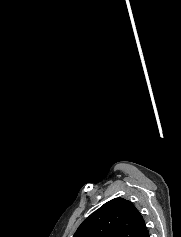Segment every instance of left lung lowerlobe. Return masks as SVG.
Segmentation results:
<instances>
[{
	"mask_svg": "<svg viewBox=\"0 0 181 237\" xmlns=\"http://www.w3.org/2000/svg\"><path fill=\"white\" fill-rule=\"evenodd\" d=\"M141 237H150L147 229L144 231V233L141 235Z\"/></svg>",
	"mask_w": 181,
	"mask_h": 237,
	"instance_id": "obj_1",
	"label": "left lung lower lobe"
}]
</instances>
